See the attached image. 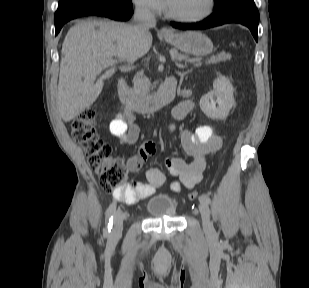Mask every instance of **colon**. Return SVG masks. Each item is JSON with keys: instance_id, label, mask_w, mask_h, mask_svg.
Wrapping results in <instances>:
<instances>
[{"instance_id": "5ec220e1", "label": "colon", "mask_w": 309, "mask_h": 288, "mask_svg": "<svg viewBox=\"0 0 309 288\" xmlns=\"http://www.w3.org/2000/svg\"><path fill=\"white\" fill-rule=\"evenodd\" d=\"M96 124V111L84 109L72 120V139L84 150L88 165L98 174L102 189L107 192L122 190L127 186V167L112 156V149L97 133ZM188 198L195 201L199 193L191 191Z\"/></svg>"}]
</instances>
